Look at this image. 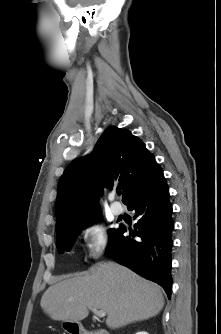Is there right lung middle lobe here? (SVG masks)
Listing matches in <instances>:
<instances>
[{"label": "right lung middle lobe", "instance_id": "1", "mask_svg": "<svg viewBox=\"0 0 221 334\" xmlns=\"http://www.w3.org/2000/svg\"><path fill=\"white\" fill-rule=\"evenodd\" d=\"M98 220H99V217H96L90 221H87L81 224L72 225L64 229L62 233L56 236V244H57V249L59 253H63L64 251H69L73 241L75 240L77 235L80 233L81 229L91 225L92 223H95ZM119 229H109L108 231L109 244L113 241Z\"/></svg>", "mask_w": 221, "mask_h": 334}]
</instances>
